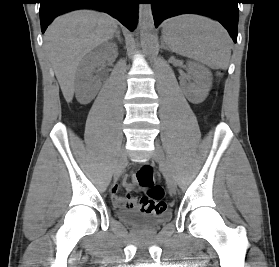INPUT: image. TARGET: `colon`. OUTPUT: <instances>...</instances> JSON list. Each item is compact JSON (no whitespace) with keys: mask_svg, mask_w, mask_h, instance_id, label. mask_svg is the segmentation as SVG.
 <instances>
[{"mask_svg":"<svg viewBox=\"0 0 279 267\" xmlns=\"http://www.w3.org/2000/svg\"><path fill=\"white\" fill-rule=\"evenodd\" d=\"M135 179L145 193L137 199L138 209L143 213L163 214L167 210V204L161 200L164 192L162 187L155 184L153 167L149 164L142 165L136 172Z\"/></svg>","mask_w":279,"mask_h":267,"instance_id":"1","label":"colon"}]
</instances>
